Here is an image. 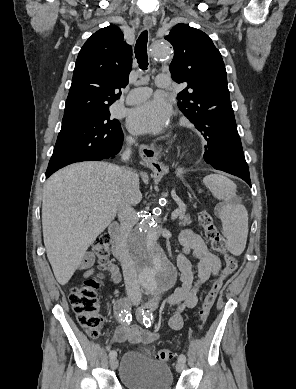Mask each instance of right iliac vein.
Here are the masks:
<instances>
[{"mask_svg": "<svg viewBox=\"0 0 296 389\" xmlns=\"http://www.w3.org/2000/svg\"><path fill=\"white\" fill-rule=\"evenodd\" d=\"M110 366H111L112 369H116L117 368L118 361H117L116 357L110 358Z\"/></svg>", "mask_w": 296, "mask_h": 389, "instance_id": "1", "label": "right iliac vein"}]
</instances>
